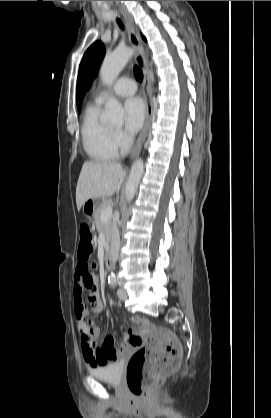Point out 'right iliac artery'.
Returning <instances> with one entry per match:
<instances>
[{
  "instance_id": "82829eb1",
  "label": "right iliac artery",
  "mask_w": 271,
  "mask_h": 418,
  "mask_svg": "<svg viewBox=\"0 0 271 418\" xmlns=\"http://www.w3.org/2000/svg\"><path fill=\"white\" fill-rule=\"evenodd\" d=\"M114 282H115V281H113V280H108V283H109L110 285H112Z\"/></svg>"
}]
</instances>
